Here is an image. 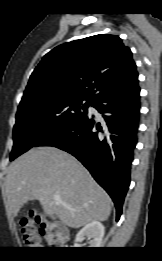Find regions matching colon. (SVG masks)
Masks as SVG:
<instances>
[{"label": "colon", "mask_w": 162, "mask_h": 261, "mask_svg": "<svg viewBox=\"0 0 162 261\" xmlns=\"http://www.w3.org/2000/svg\"><path fill=\"white\" fill-rule=\"evenodd\" d=\"M20 225L24 243L29 248H40L44 244L61 246L65 242L63 230L54 220H43L34 212L24 215Z\"/></svg>", "instance_id": "colon-1"}]
</instances>
